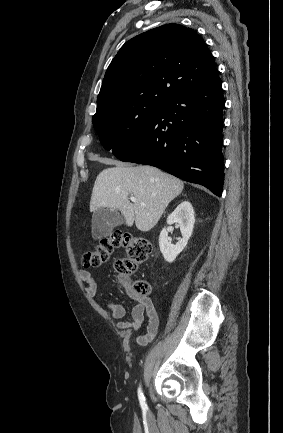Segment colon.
Returning a JSON list of instances; mask_svg holds the SVG:
<instances>
[{"instance_id":"obj_1","label":"colon","mask_w":283,"mask_h":433,"mask_svg":"<svg viewBox=\"0 0 283 433\" xmlns=\"http://www.w3.org/2000/svg\"><path fill=\"white\" fill-rule=\"evenodd\" d=\"M119 248L126 252L125 258L115 261V269L121 276L134 273L139 265L149 259L152 252L149 240L117 230L100 239L93 249L85 251L81 256L82 263L91 268L104 266L111 261L114 251ZM132 290L140 296H148L151 287L147 281L137 280L132 284Z\"/></svg>"}]
</instances>
